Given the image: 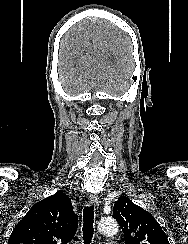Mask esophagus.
Here are the masks:
<instances>
[{"instance_id": "34e87169", "label": "esophagus", "mask_w": 188, "mask_h": 244, "mask_svg": "<svg viewBox=\"0 0 188 244\" xmlns=\"http://www.w3.org/2000/svg\"><path fill=\"white\" fill-rule=\"evenodd\" d=\"M88 203L90 205H98L100 203L99 196L96 194H92L89 196Z\"/></svg>"}]
</instances>
